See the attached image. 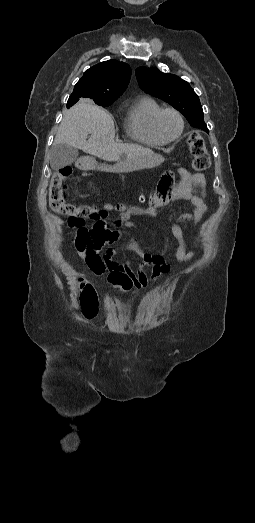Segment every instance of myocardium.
<instances>
[{
  "mask_svg": "<svg viewBox=\"0 0 255 523\" xmlns=\"http://www.w3.org/2000/svg\"><path fill=\"white\" fill-rule=\"evenodd\" d=\"M165 112H172V113H174L177 116V118L179 119V122H180V129H179L178 134L175 137L170 138V139L164 138L162 136V134L160 133L159 128H158L159 118ZM151 127H152V130H153L154 134L157 136L158 139H160L164 143H170V142L176 141L177 139H179L181 137V135H182V133L184 131V127H185L184 117H183L182 113L178 109H176L174 107H171V106L161 107L154 114V116L152 118V121H151Z\"/></svg>",
  "mask_w": 255,
  "mask_h": 523,
  "instance_id": "myocardium-1",
  "label": "myocardium"
}]
</instances>
